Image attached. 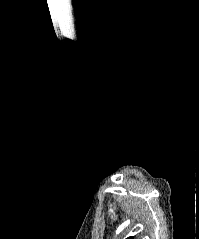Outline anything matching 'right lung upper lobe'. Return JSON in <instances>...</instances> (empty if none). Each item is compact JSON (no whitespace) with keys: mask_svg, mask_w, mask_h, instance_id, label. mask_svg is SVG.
I'll return each mask as SVG.
<instances>
[{"mask_svg":"<svg viewBox=\"0 0 199 239\" xmlns=\"http://www.w3.org/2000/svg\"><path fill=\"white\" fill-rule=\"evenodd\" d=\"M127 239H133V237H128Z\"/></svg>","mask_w":199,"mask_h":239,"instance_id":"cb5924a9","label":"right lung upper lobe"}]
</instances>
